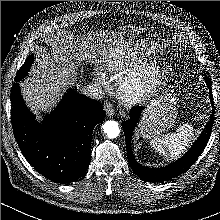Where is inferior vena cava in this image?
I'll return each mask as SVG.
<instances>
[{
	"mask_svg": "<svg viewBox=\"0 0 220 220\" xmlns=\"http://www.w3.org/2000/svg\"><path fill=\"white\" fill-rule=\"evenodd\" d=\"M81 93L94 99H101L104 95L103 89L98 84H89L84 86Z\"/></svg>",
	"mask_w": 220,
	"mask_h": 220,
	"instance_id": "inferior-vena-cava-1",
	"label": "inferior vena cava"
}]
</instances>
